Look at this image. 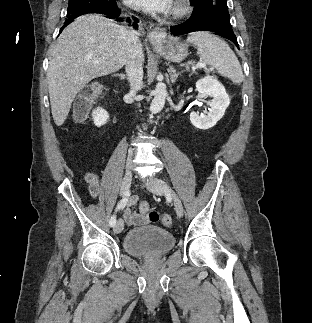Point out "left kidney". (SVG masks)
Masks as SVG:
<instances>
[{
    "instance_id": "left-kidney-1",
    "label": "left kidney",
    "mask_w": 312,
    "mask_h": 323,
    "mask_svg": "<svg viewBox=\"0 0 312 323\" xmlns=\"http://www.w3.org/2000/svg\"><path fill=\"white\" fill-rule=\"evenodd\" d=\"M196 88L200 94L211 96L213 100L207 102L209 106L208 112L207 110H204V114L191 112L190 122L195 128H199V130H209V128H213L223 118L225 110L230 104V100L224 86L218 80H215L213 76H205V78L198 80L196 82Z\"/></svg>"
}]
</instances>
